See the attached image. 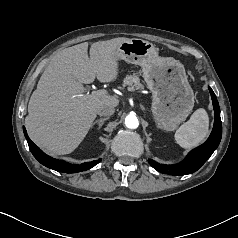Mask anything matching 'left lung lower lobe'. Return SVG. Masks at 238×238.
<instances>
[{"label": "left lung lower lobe", "mask_w": 238, "mask_h": 238, "mask_svg": "<svg viewBox=\"0 0 238 238\" xmlns=\"http://www.w3.org/2000/svg\"><path fill=\"white\" fill-rule=\"evenodd\" d=\"M208 88L211 94L215 115L213 130L209 138L204 144L190 151L188 155L185 157V159L178 164L162 165L155 162L154 160H149V164L157 171L161 173H167L169 175L191 174L197 171L209 159V157L218 147L222 136L220 108L218 101L216 99V95L214 94L213 90L210 87Z\"/></svg>", "instance_id": "obj_1"}]
</instances>
